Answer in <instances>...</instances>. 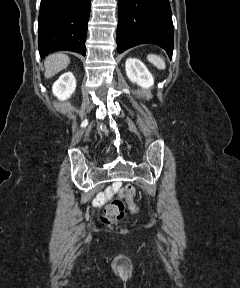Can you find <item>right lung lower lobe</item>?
Instances as JSON below:
<instances>
[{
    "label": "right lung lower lobe",
    "mask_w": 240,
    "mask_h": 288,
    "mask_svg": "<svg viewBox=\"0 0 240 288\" xmlns=\"http://www.w3.org/2000/svg\"><path fill=\"white\" fill-rule=\"evenodd\" d=\"M90 6L91 0H41L38 46L42 58L62 50L86 54Z\"/></svg>",
    "instance_id": "1"
}]
</instances>
